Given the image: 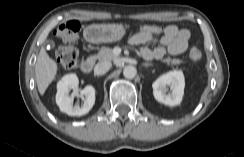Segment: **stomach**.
Wrapping results in <instances>:
<instances>
[{
    "instance_id": "stomach-1",
    "label": "stomach",
    "mask_w": 244,
    "mask_h": 157,
    "mask_svg": "<svg viewBox=\"0 0 244 157\" xmlns=\"http://www.w3.org/2000/svg\"><path fill=\"white\" fill-rule=\"evenodd\" d=\"M125 35V28L121 24H92L85 28L84 37L91 43L116 42Z\"/></svg>"
}]
</instances>
